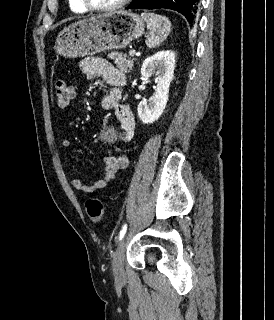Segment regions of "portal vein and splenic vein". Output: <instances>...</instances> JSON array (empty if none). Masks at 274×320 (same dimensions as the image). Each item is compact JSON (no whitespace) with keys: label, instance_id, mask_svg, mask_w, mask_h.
Masks as SVG:
<instances>
[{"label":"portal vein and splenic vein","instance_id":"obj_1","mask_svg":"<svg viewBox=\"0 0 274 320\" xmlns=\"http://www.w3.org/2000/svg\"><path fill=\"white\" fill-rule=\"evenodd\" d=\"M134 54L137 56V52H135V50H131V52H129V56H134Z\"/></svg>","mask_w":274,"mask_h":320}]
</instances>
